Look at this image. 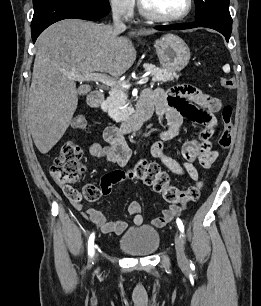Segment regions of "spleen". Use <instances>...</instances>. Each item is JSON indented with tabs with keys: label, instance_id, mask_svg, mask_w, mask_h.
Instances as JSON below:
<instances>
[{
	"label": "spleen",
	"instance_id": "1",
	"mask_svg": "<svg viewBox=\"0 0 261 306\" xmlns=\"http://www.w3.org/2000/svg\"><path fill=\"white\" fill-rule=\"evenodd\" d=\"M223 70L226 71V72H229V71H230L229 65H225V66L223 67Z\"/></svg>",
	"mask_w": 261,
	"mask_h": 306
}]
</instances>
